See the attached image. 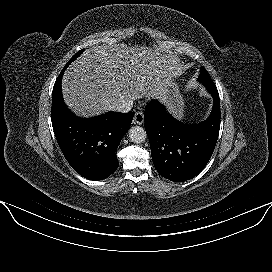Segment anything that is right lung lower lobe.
I'll list each match as a JSON object with an SVG mask.
<instances>
[{
    "instance_id": "1",
    "label": "right lung lower lobe",
    "mask_w": 272,
    "mask_h": 272,
    "mask_svg": "<svg viewBox=\"0 0 272 272\" xmlns=\"http://www.w3.org/2000/svg\"><path fill=\"white\" fill-rule=\"evenodd\" d=\"M61 72L52 92L51 120L57 142L71 167L89 180L116 171L117 148L133 120V112H108L89 119L73 115L64 105Z\"/></svg>"
}]
</instances>
